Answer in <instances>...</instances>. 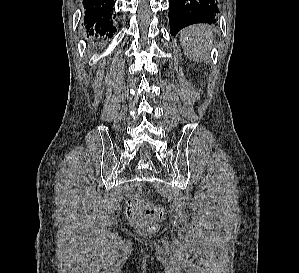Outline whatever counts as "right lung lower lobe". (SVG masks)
<instances>
[{
    "label": "right lung lower lobe",
    "mask_w": 299,
    "mask_h": 273,
    "mask_svg": "<svg viewBox=\"0 0 299 273\" xmlns=\"http://www.w3.org/2000/svg\"><path fill=\"white\" fill-rule=\"evenodd\" d=\"M114 3V0H83L84 24L89 35L112 37L115 32L112 20Z\"/></svg>",
    "instance_id": "right-lung-lower-lobe-1"
}]
</instances>
